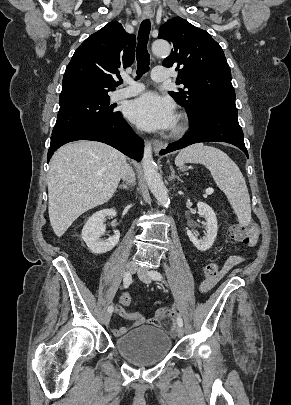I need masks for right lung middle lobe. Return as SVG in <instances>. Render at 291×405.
<instances>
[{"instance_id":"dd1d6c3e","label":"right lung middle lobe","mask_w":291,"mask_h":405,"mask_svg":"<svg viewBox=\"0 0 291 405\" xmlns=\"http://www.w3.org/2000/svg\"><path fill=\"white\" fill-rule=\"evenodd\" d=\"M110 104V97L76 98L60 101V109L52 135L90 123H106L119 115Z\"/></svg>"}]
</instances>
